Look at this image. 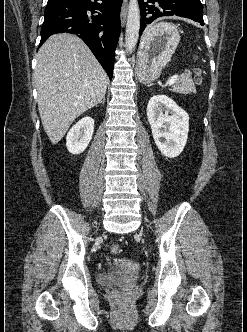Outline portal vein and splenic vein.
<instances>
[{
  "label": "portal vein and splenic vein",
  "mask_w": 247,
  "mask_h": 332,
  "mask_svg": "<svg viewBox=\"0 0 247 332\" xmlns=\"http://www.w3.org/2000/svg\"><path fill=\"white\" fill-rule=\"evenodd\" d=\"M177 78H178V75H173V76L169 79V81H168V85H169V86L173 85V84L176 82Z\"/></svg>",
  "instance_id": "1"
}]
</instances>
